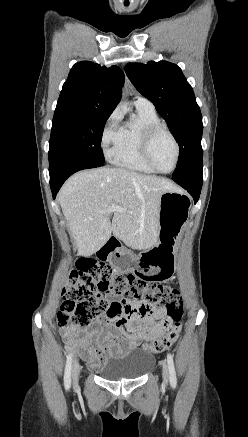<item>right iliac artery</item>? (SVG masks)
Listing matches in <instances>:
<instances>
[{"mask_svg":"<svg viewBox=\"0 0 248 437\" xmlns=\"http://www.w3.org/2000/svg\"><path fill=\"white\" fill-rule=\"evenodd\" d=\"M71 365H72V353L67 355L66 366H65L64 385L66 390H68L71 385Z\"/></svg>","mask_w":248,"mask_h":437,"instance_id":"1","label":"right iliac artery"}]
</instances>
